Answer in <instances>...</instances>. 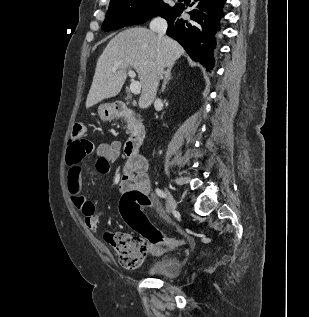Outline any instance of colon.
<instances>
[{
  "label": "colon",
  "mask_w": 309,
  "mask_h": 317,
  "mask_svg": "<svg viewBox=\"0 0 309 317\" xmlns=\"http://www.w3.org/2000/svg\"><path fill=\"white\" fill-rule=\"evenodd\" d=\"M87 132L84 123H76L73 126L70 145L67 153V162H74L81 158L78 148ZM92 144L88 143V150L91 151ZM155 206L152 200L145 194L138 191H129L122 195L120 201V212L123 219L137 233H115L108 236L109 242L115 251L120 264L126 269L140 267L149 251V248H173L184 243L183 240L170 238L161 233L153 226L142 207Z\"/></svg>",
  "instance_id": "1"
}]
</instances>
